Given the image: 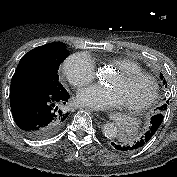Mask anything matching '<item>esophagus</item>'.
Masks as SVG:
<instances>
[{
  "label": "esophagus",
  "instance_id": "1",
  "mask_svg": "<svg viewBox=\"0 0 177 177\" xmlns=\"http://www.w3.org/2000/svg\"><path fill=\"white\" fill-rule=\"evenodd\" d=\"M103 116H104L105 118H108V117L110 116V113H109L108 111H105V112L103 113Z\"/></svg>",
  "mask_w": 177,
  "mask_h": 177
}]
</instances>
